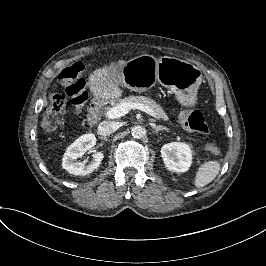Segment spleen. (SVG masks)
Here are the masks:
<instances>
[{
    "mask_svg": "<svg viewBox=\"0 0 266 266\" xmlns=\"http://www.w3.org/2000/svg\"><path fill=\"white\" fill-rule=\"evenodd\" d=\"M221 169L219 160H204L196 170L193 185L202 188L212 182Z\"/></svg>",
    "mask_w": 266,
    "mask_h": 266,
    "instance_id": "spleen-1",
    "label": "spleen"
}]
</instances>
